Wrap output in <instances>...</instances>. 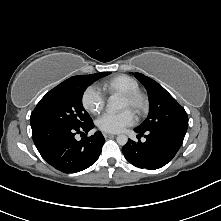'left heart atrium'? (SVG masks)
Returning a JSON list of instances; mask_svg holds the SVG:
<instances>
[{"label":"left heart atrium","instance_id":"39dd6f15","mask_svg":"<svg viewBox=\"0 0 221 221\" xmlns=\"http://www.w3.org/2000/svg\"><path fill=\"white\" fill-rule=\"evenodd\" d=\"M135 122L134 114L125 109L120 113H105L96 121L97 127L108 133H118Z\"/></svg>","mask_w":221,"mask_h":221}]
</instances>
